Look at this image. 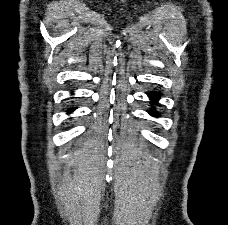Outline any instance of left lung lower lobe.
Returning a JSON list of instances; mask_svg holds the SVG:
<instances>
[{
	"label": "left lung lower lobe",
	"mask_w": 228,
	"mask_h": 225,
	"mask_svg": "<svg viewBox=\"0 0 228 225\" xmlns=\"http://www.w3.org/2000/svg\"><path fill=\"white\" fill-rule=\"evenodd\" d=\"M149 97L152 99L153 102H156L159 99V95L156 93H150ZM150 114L154 115V116L158 115L157 112H155V111H150Z\"/></svg>",
	"instance_id": "0a47b994"
}]
</instances>
